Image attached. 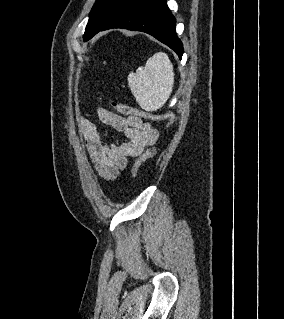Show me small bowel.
Masks as SVG:
<instances>
[{
	"label": "small bowel",
	"mask_w": 284,
	"mask_h": 319,
	"mask_svg": "<svg viewBox=\"0 0 284 319\" xmlns=\"http://www.w3.org/2000/svg\"><path fill=\"white\" fill-rule=\"evenodd\" d=\"M97 115L103 124L123 132L127 138L123 143L107 144L92 121L84 117L77 120L78 131L97 175L113 181L126 168L129 158L140 156L156 143L158 130L142 118L123 117L104 108H98Z\"/></svg>",
	"instance_id": "1"
}]
</instances>
